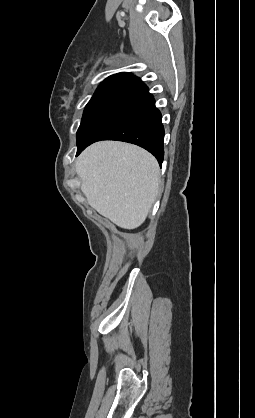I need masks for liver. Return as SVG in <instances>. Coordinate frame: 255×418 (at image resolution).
<instances>
[{"instance_id":"obj_1","label":"liver","mask_w":255,"mask_h":418,"mask_svg":"<svg viewBox=\"0 0 255 418\" xmlns=\"http://www.w3.org/2000/svg\"><path fill=\"white\" fill-rule=\"evenodd\" d=\"M76 172L89 205L124 229L145 221L159 191L158 162L128 143L92 144L78 157Z\"/></svg>"}]
</instances>
